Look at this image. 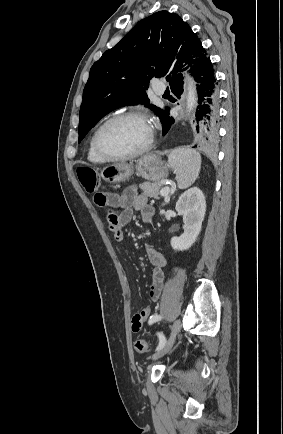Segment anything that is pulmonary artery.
<instances>
[{
	"instance_id": "e3ab8cb5",
	"label": "pulmonary artery",
	"mask_w": 283,
	"mask_h": 434,
	"mask_svg": "<svg viewBox=\"0 0 283 434\" xmlns=\"http://www.w3.org/2000/svg\"><path fill=\"white\" fill-rule=\"evenodd\" d=\"M165 89H166L165 85L163 83H161V82H157L153 86V91L157 95H162L165 92Z\"/></svg>"
}]
</instances>
